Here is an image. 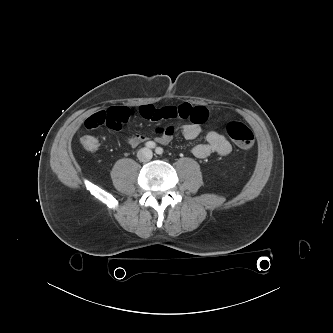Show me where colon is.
Returning <instances> with one entry per match:
<instances>
[{
	"mask_svg": "<svg viewBox=\"0 0 333 333\" xmlns=\"http://www.w3.org/2000/svg\"><path fill=\"white\" fill-rule=\"evenodd\" d=\"M132 115L127 113V118ZM228 136L242 149H249L254 144V134L250 128L239 121L229 122L226 126ZM82 147L87 151H95L99 147V141L92 135H84L80 139Z\"/></svg>",
	"mask_w": 333,
	"mask_h": 333,
	"instance_id": "colon-1",
	"label": "colon"
}]
</instances>
